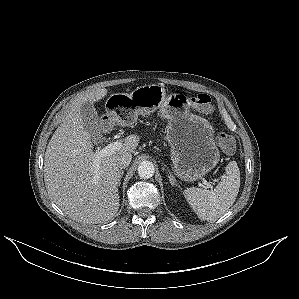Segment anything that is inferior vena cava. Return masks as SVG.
<instances>
[{"instance_id":"obj_1","label":"inferior vena cava","mask_w":299,"mask_h":299,"mask_svg":"<svg viewBox=\"0 0 299 299\" xmlns=\"http://www.w3.org/2000/svg\"><path fill=\"white\" fill-rule=\"evenodd\" d=\"M131 160H132V154L124 153L118 158L117 165L120 169L123 168L125 169L126 167L129 166Z\"/></svg>"}]
</instances>
